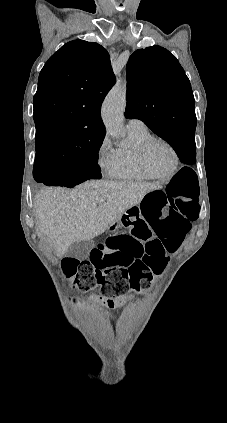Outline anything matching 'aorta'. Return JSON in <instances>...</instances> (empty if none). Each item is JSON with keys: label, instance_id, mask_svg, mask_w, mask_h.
Masks as SVG:
<instances>
[{"label": "aorta", "instance_id": "762f6f07", "mask_svg": "<svg viewBox=\"0 0 227 423\" xmlns=\"http://www.w3.org/2000/svg\"><path fill=\"white\" fill-rule=\"evenodd\" d=\"M125 106L126 85L117 83L106 96L101 108L106 132L114 138L120 137L123 132L122 122Z\"/></svg>", "mask_w": 227, "mask_h": 423}]
</instances>
